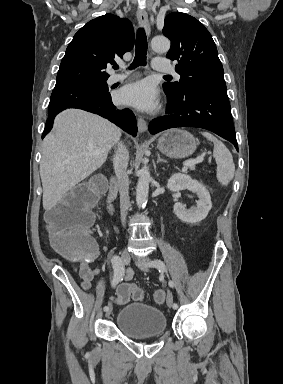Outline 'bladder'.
Listing matches in <instances>:
<instances>
[{"mask_svg": "<svg viewBox=\"0 0 283 384\" xmlns=\"http://www.w3.org/2000/svg\"><path fill=\"white\" fill-rule=\"evenodd\" d=\"M115 326L128 338L156 337L166 332L167 318L161 308L138 301L122 306Z\"/></svg>", "mask_w": 283, "mask_h": 384, "instance_id": "1", "label": "bladder"}]
</instances>
